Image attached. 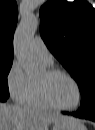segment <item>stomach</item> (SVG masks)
Instances as JSON below:
<instances>
[{
	"label": "stomach",
	"mask_w": 95,
	"mask_h": 130,
	"mask_svg": "<svg viewBox=\"0 0 95 130\" xmlns=\"http://www.w3.org/2000/svg\"><path fill=\"white\" fill-rule=\"evenodd\" d=\"M52 130H87L84 124L73 117H67L53 125Z\"/></svg>",
	"instance_id": "obj_1"
}]
</instances>
